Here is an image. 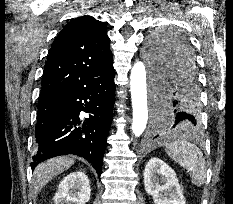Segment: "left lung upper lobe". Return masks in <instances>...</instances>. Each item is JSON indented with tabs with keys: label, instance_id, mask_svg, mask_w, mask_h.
Returning a JSON list of instances; mask_svg holds the SVG:
<instances>
[{
	"label": "left lung upper lobe",
	"instance_id": "left-lung-upper-lobe-1",
	"mask_svg": "<svg viewBox=\"0 0 233 204\" xmlns=\"http://www.w3.org/2000/svg\"><path fill=\"white\" fill-rule=\"evenodd\" d=\"M186 54L194 59L191 47L187 40L179 33L165 31L154 34L148 41L145 56L150 64L151 72L157 74L171 66V57ZM182 111L191 115H200L196 109L182 108Z\"/></svg>",
	"mask_w": 233,
	"mask_h": 204
}]
</instances>
